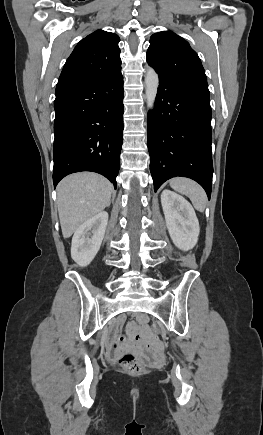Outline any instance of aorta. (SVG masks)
Masks as SVG:
<instances>
[{
	"label": "aorta",
	"instance_id": "obj_1",
	"mask_svg": "<svg viewBox=\"0 0 263 435\" xmlns=\"http://www.w3.org/2000/svg\"><path fill=\"white\" fill-rule=\"evenodd\" d=\"M158 85V75L153 68L149 67L145 75V95L148 109L154 108Z\"/></svg>",
	"mask_w": 263,
	"mask_h": 435
}]
</instances>
